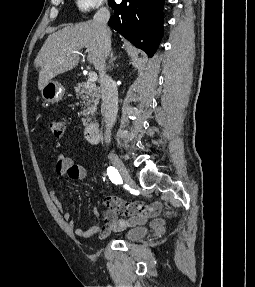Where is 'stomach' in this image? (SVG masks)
<instances>
[{
  "mask_svg": "<svg viewBox=\"0 0 255 287\" xmlns=\"http://www.w3.org/2000/svg\"><path fill=\"white\" fill-rule=\"evenodd\" d=\"M64 94L65 88H63L62 84H59V82H54V80L47 82L46 86L41 90V96L45 102H48V104H56V102H60Z\"/></svg>",
  "mask_w": 255,
  "mask_h": 287,
  "instance_id": "stomach-1",
  "label": "stomach"
}]
</instances>
